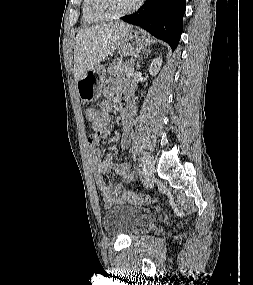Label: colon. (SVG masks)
<instances>
[{
	"instance_id": "1",
	"label": "colon",
	"mask_w": 253,
	"mask_h": 285,
	"mask_svg": "<svg viewBox=\"0 0 253 285\" xmlns=\"http://www.w3.org/2000/svg\"><path fill=\"white\" fill-rule=\"evenodd\" d=\"M96 110L93 108H88L86 111V119L92 122L95 119ZM125 197L127 201L135 203V204H152L155 203L157 200L156 198L152 197L151 195H144L139 194L132 191H126Z\"/></svg>"
}]
</instances>
